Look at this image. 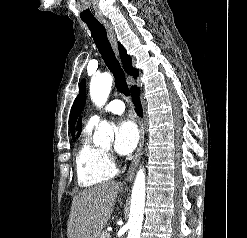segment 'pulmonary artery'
I'll use <instances>...</instances> for the list:
<instances>
[{"instance_id": "obj_1", "label": "pulmonary artery", "mask_w": 247, "mask_h": 238, "mask_svg": "<svg viewBox=\"0 0 247 238\" xmlns=\"http://www.w3.org/2000/svg\"><path fill=\"white\" fill-rule=\"evenodd\" d=\"M125 110V105L123 101L119 99H115L110 101L102 111L93 114L89 120L87 125L90 127H94L95 125L98 124V122L101 120L102 116L106 113H113V114H121Z\"/></svg>"}]
</instances>
